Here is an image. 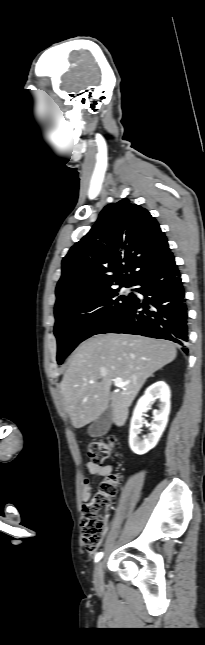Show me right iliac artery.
Segmentation results:
<instances>
[{"label":"right iliac artery","instance_id":"right-iliac-artery-1","mask_svg":"<svg viewBox=\"0 0 205 645\" xmlns=\"http://www.w3.org/2000/svg\"><path fill=\"white\" fill-rule=\"evenodd\" d=\"M102 556H103L102 552L97 553L95 556V562H98L102 558Z\"/></svg>","mask_w":205,"mask_h":645}]
</instances>
